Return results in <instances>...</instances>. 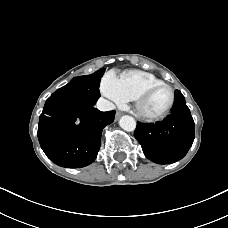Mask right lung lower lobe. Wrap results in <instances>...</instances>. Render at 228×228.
Here are the masks:
<instances>
[{"label":"right lung lower lobe","instance_id":"obj_1","mask_svg":"<svg viewBox=\"0 0 228 228\" xmlns=\"http://www.w3.org/2000/svg\"><path fill=\"white\" fill-rule=\"evenodd\" d=\"M115 111L101 112L72 101L49 97L39 118L38 139L55 164L80 168L91 164L100 149L101 133Z\"/></svg>","mask_w":228,"mask_h":228}]
</instances>
